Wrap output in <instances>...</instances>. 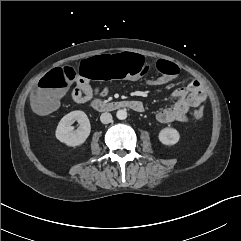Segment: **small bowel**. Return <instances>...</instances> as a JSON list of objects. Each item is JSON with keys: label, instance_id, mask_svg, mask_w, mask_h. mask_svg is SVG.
<instances>
[{"label": "small bowel", "instance_id": "c3829d8e", "mask_svg": "<svg viewBox=\"0 0 241 241\" xmlns=\"http://www.w3.org/2000/svg\"><path fill=\"white\" fill-rule=\"evenodd\" d=\"M173 77L162 75L157 79L149 81L151 85L167 84ZM107 89L92 88L88 79L81 77L77 85L71 91L72 99L77 103H87L90 100L105 96ZM175 100L170 107L161 109L157 112L156 118L160 123L187 122L188 112L191 108L199 107L206 100V91L204 85L199 80H192L187 86L177 88L172 93ZM136 107L134 109L141 111L143 105L140 101L134 100Z\"/></svg>", "mask_w": 241, "mask_h": 241}]
</instances>
